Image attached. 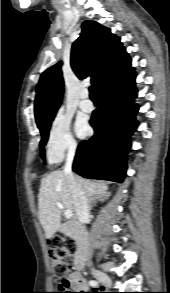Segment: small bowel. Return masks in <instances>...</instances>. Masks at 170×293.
Here are the masks:
<instances>
[{"mask_svg": "<svg viewBox=\"0 0 170 293\" xmlns=\"http://www.w3.org/2000/svg\"><path fill=\"white\" fill-rule=\"evenodd\" d=\"M71 280L73 282L74 289L83 290L86 288L84 280L81 278V276L79 274H77V273L72 274Z\"/></svg>", "mask_w": 170, "mask_h": 293, "instance_id": "c3829d8e", "label": "small bowel"}]
</instances>
